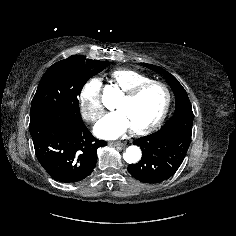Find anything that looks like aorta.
I'll return each instance as SVG.
<instances>
[{
  "label": "aorta",
  "mask_w": 236,
  "mask_h": 236,
  "mask_svg": "<svg viewBox=\"0 0 236 236\" xmlns=\"http://www.w3.org/2000/svg\"><path fill=\"white\" fill-rule=\"evenodd\" d=\"M110 92L107 91L105 93V95H108ZM141 150L138 146L132 145L129 146L125 153L123 154V158L124 160L129 163V164H133V163H137L140 159H141Z\"/></svg>",
  "instance_id": "aorta-1"
}]
</instances>
